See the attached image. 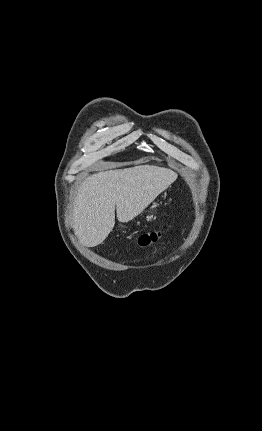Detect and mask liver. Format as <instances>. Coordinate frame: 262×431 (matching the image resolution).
Listing matches in <instances>:
<instances>
[{
  "label": "liver",
  "mask_w": 262,
  "mask_h": 431,
  "mask_svg": "<svg viewBox=\"0 0 262 431\" xmlns=\"http://www.w3.org/2000/svg\"><path fill=\"white\" fill-rule=\"evenodd\" d=\"M176 179L171 169L154 165L103 171L88 177L74 201L75 235L85 246L101 244L115 225V208L119 222H129Z\"/></svg>",
  "instance_id": "1"
}]
</instances>
